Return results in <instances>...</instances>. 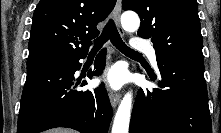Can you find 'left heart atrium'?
Returning <instances> with one entry per match:
<instances>
[{"mask_svg":"<svg viewBox=\"0 0 221 133\" xmlns=\"http://www.w3.org/2000/svg\"><path fill=\"white\" fill-rule=\"evenodd\" d=\"M125 80L124 71L119 67L110 68L103 77V81L111 88L117 89Z\"/></svg>","mask_w":221,"mask_h":133,"instance_id":"obj_1","label":"left heart atrium"}]
</instances>
